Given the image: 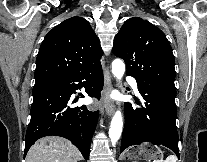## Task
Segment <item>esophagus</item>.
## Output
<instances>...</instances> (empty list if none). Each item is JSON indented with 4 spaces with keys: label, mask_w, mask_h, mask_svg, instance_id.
Here are the masks:
<instances>
[{
    "label": "esophagus",
    "mask_w": 207,
    "mask_h": 162,
    "mask_svg": "<svg viewBox=\"0 0 207 162\" xmlns=\"http://www.w3.org/2000/svg\"><path fill=\"white\" fill-rule=\"evenodd\" d=\"M112 79L108 71V68H105L104 72V90H103V104L101 110H104L106 115L112 116L115 111V103L109 98V94L112 90Z\"/></svg>",
    "instance_id": "esophagus-1"
}]
</instances>
